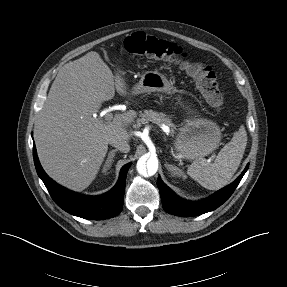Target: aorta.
<instances>
[{
    "label": "aorta",
    "instance_id": "1",
    "mask_svg": "<svg viewBox=\"0 0 287 287\" xmlns=\"http://www.w3.org/2000/svg\"><path fill=\"white\" fill-rule=\"evenodd\" d=\"M158 170V159L155 156L141 157L137 162V171L140 175H154Z\"/></svg>",
    "mask_w": 287,
    "mask_h": 287
}]
</instances>
